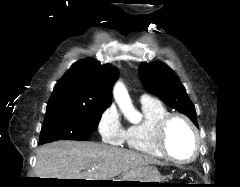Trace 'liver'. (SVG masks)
<instances>
[{
    "label": "liver",
    "mask_w": 240,
    "mask_h": 187,
    "mask_svg": "<svg viewBox=\"0 0 240 187\" xmlns=\"http://www.w3.org/2000/svg\"><path fill=\"white\" fill-rule=\"evenodd\" d=\"M159 164L148 156L99 144L61 140L37 150V178L111 180L139 167Z\"/></svg>",
    "instance_id": "1"
}]
</instances>
